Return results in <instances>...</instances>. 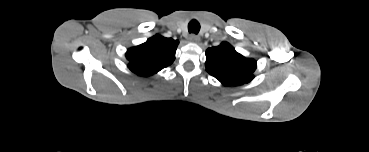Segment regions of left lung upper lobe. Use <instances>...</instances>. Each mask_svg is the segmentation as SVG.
<instances>
[{
  "label": "left lung upper lobe",
  "mask_w": 369,
  "mask_h": 152,
  "mask_svg": "<svg viewBox=\"0 0 369 152\" xmlns=\"http://www.w3.org/2000/svg\"><path fill=\"white\" fill-rule=\"evenodd\" d=\"M206 70L225 86L240 85L254 78L256 61L247 59L223 42L206 50Z\"/></svg>",
  "instance_id": "left-lung-upper-lobe-1"
}]
</instances>
